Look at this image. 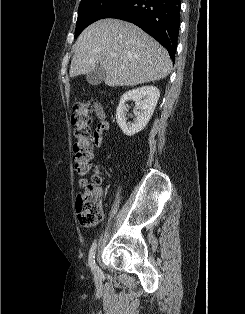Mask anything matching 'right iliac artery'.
Returning a JSON list of instances; mask_svg holds the SVG:
<instances>
[{
	"label": "right iliac artery",
	"mask_w": 245,
	"mask_h": 314,
	"mask_svg": "<svg viewBox=\"0 0 245 314\" xmlns=\"http://www.w3.org/2000/svg\"><path fill=\"white\" fill-rule=\"evenodd\" d=\"M95 249H96V243H93V245L90 248L89 251V259H88V264L91 267V270H95Z\"/></svg>",
	"instance_id": "obj_1"
}]
</instances>
